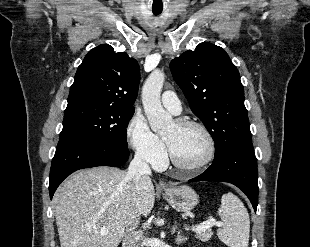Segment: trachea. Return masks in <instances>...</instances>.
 I'll list each match as a JSON object with an SVG mask.
<instances>
[{"mask_svg":"<svg viewBox=\"0 0 310 247\" xmlns=\"http://www.w3.org/2000/svg\"><path fill=\"white\" fill-rule=\"evenodd\" d=\"M162 12V10H153V14L154 15H158V14H160Z\"/></svg>","mask_w":310,"mask_h":247,"instance_id":"3493384b","label":"trachea"}]
</instances>
